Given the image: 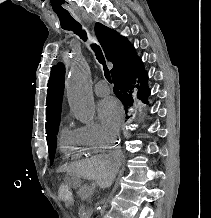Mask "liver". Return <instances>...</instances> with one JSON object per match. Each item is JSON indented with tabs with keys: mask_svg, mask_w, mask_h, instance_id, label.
<instances>
[{
	"mask_svg": "<svg viewBox=\"0 0 211 218\" xmlns=\"http://www.w3.org/2000/svg\"><path fill=\"white\" fill-rule=\"evenodd\" d=\"M119 158H108V156H92L89 160H84L82 164V174L88 180H96V184L104 186L110 176L116 174Z\"/></svg>",
	"mask_w": 211,
	"mask_h": 218,
	"instance_id": "1",
	"label": "liver"
}]
</instances>
